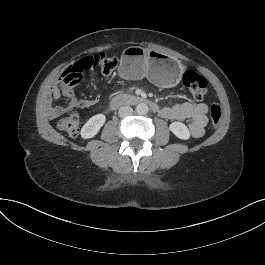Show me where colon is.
Masks as SVG:
<instances>
[{
    "mask_svg": "<svg viewBox=\"0 0 265 265\" xmlns=\"http://www.w3.org/2000/svg\"><path fill=\"white\" fill-rule=\"evenodd\" d=\"M97 67H100L104 75H110L117 67V60L114 57H107L104 53H97L80 59L61 75L60 83L62 88H74L81 81L84 71ZM183 83L197 100L202 99L207 93V80L193 70H187L184 73ZM210 117L212 126L217 127L221 120V107L218 103L211 105ZM58 127L69 136H75L80 128L79 114L72 112L61 118L58 121Z\"/></svg>",
    "mask_w": 265,
    "mask_h": 265,
    "instance_id": "5ec220e1",
    "label": "colon"
}]
</instances>
